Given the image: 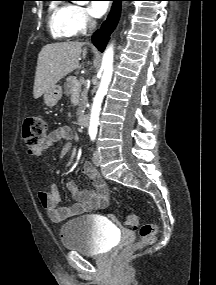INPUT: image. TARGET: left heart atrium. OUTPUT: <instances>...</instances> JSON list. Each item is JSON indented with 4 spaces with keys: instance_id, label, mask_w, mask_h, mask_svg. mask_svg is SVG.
<instances>
[{
    "instance_id": "1",
    "label": "left heart atrium",
    "mask_w": 216,
    "mask_h": 285,
    "mask_svg": "<svg viewBox=\"0 0 216 285\" xmlns=\"http://www.w3.org/2000/svg\"><path fill=\"white\" fill-rule=\"evenodd\" d=\"M108 6V1H94L91 4V13L94 17H101L106 13Z\"/></svg>"
}]
</instances>
